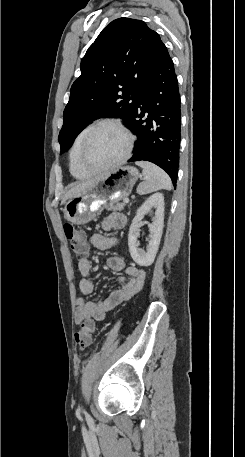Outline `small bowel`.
Segmentation results:
<instances>
[{
	"label": "small bowel",
	"instance_id": "obj_1",
	"mask_svg": "<svg viewBox=\"0 0 245 457\" xmlns=\"http://www.w3.org/2000/svg\"><path fill=\"white\" fill-rule=\"evenodd\" d=\"M127 222L124 214L119 212L110 213L102 221V229L105 232L122 229ZM90 243L101 250L109 249L118 243L115 237L104 234H94L90 237ZM107 266L113 271L121 272L119 286L113 290L108 297L99 302H92L83 297L76 301L75 321L77 324L85 320L102 321L108 311L121 305L130 299L134 294L139 292L144 284L146 273L135 265L127 266L124 258L112 256L107 259ZM78 270L81 274L79 281V290L83 295H90L94 290L91 280V263L87 258H80L78 261Z\"/></svg>",
	"mask_w": 245,
	"mask_h": 457
}]
</instances>
